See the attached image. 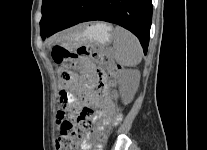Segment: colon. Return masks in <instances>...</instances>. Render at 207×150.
<instances>
[{
  "instance_id": "5ec220e1",
  "label": "colon",
  "mask_w": 207,
  "mask_h": 150,
  "mask_svg": "<svg viewBox=\"0 0 207 150\" xmlns=\"http://www.w3.org/2000/svg\"><path fill=\"white\" fill-rule=\"evenodd\" d=\"M84 57H90L99 64H107V57L91 46H82L77 50H68L63 46H55L52 49V58L59 65V75L64 86L59 87L58 103L55 115L56 125H59V137L57 139L58 150H78L85 142L87 131L93 124L92 110L84 107L76 117L69 116L76 107L77 100L72 99L75 78L70 77V72L77 68L78 61ZM119 66H111V70L116 72ZM102 137V135H100Z\"/></svg>"
}]
</instances>
